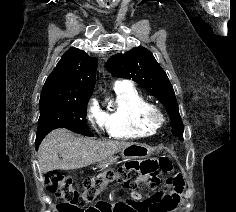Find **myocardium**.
<instances>
[{
	"mask_svg": "<svg viewBox=\"0 0 236 212\" xmlns=\"http://www.w3.org/2000/svg\"><path fill=\"white\" fill-rule=\"evenodd\" d=\"M145 120L153 127L158 128L165 123L166 117L160 107L150 104L145 112Z\"/></svg>",
	"mask_w": 236,
	"mask_h": 212,
	"instance_id": "myocardium-1",
	"label": "myocardium"
}]
</instances>
